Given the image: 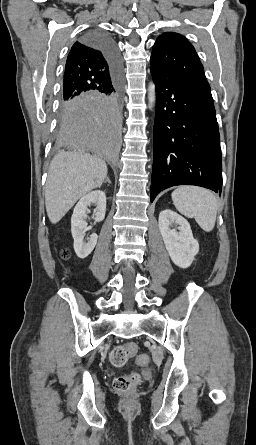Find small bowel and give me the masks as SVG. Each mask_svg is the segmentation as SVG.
Listing matches in <instances>:
<instances>
[{"mask_svg":"<svg viewBox=\"0 0 256 445\" xmlns=\"http://www.w3.org/2000/svg\"><path fill=\"white\" fill-rule=\"evenodd\" d=\"M140 359H141V362H142L143 364H145L146 359H147L146 356L142 355Z\"/></svg>","mask_w":256,"mask_h":445,"instance_id":"c3829d8e","label":"small bowel"}]
</instances>
